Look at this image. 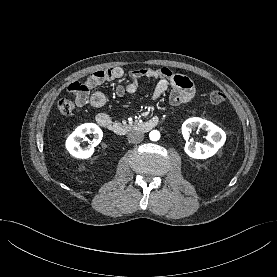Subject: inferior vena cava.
<instances>
[{
  "instance_id": "602c4592",
  "label": "inferior vena cava",
  "mask_w": 277,
  "mask_h": 277,
  "mask_svg": "<svg viewBox=\"0 0 277 277\" xmlns=\"http://www.w3.org/2000/svg\"><path fill=\"white\" fill-rule=\"evenodd\" d=\"M127 137H128L129 143L137 144L143 140L144 135L140 132H131L128 134Z\"/></svg>"
}]
</instances>
